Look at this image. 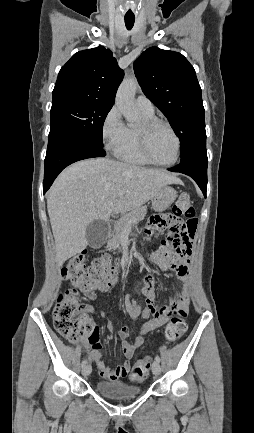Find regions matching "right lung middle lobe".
Masks as SVG:
<instances>
[{
  "label": "right lung middle lobe",
  "instance_id": "obj_1",
  "mask_svg": "<svg viewBox=\"0 0 254 433\" xmlns=\"http://www.w3.org/2000/svg\"><path fill=\"white\" fill-rule=\"evenodd\" d=\"M112 106L71 100L52 105L50 133L64 129L103 148L102 130Z\"/></svg>",
  "mask_w": 254,
  "mask_h": 433
}]
</instances>
